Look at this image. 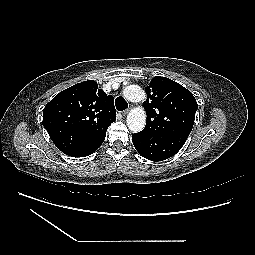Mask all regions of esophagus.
Segmentation results:
<instances>
[{
    "label": "esophagus",
    "mask_w": 255,
    "mask_h": 255,
    "mask_svg": "<svg viewBox=\"0 0 255 255\" xmlns=\"http://www.w3.org/2000/svg\"><path fill=\"white\" fill-rule=\"evenodd\" d=\"M128 112H129V109H126V110H124V111L122 112V115H123V116H126V115L128 114Z\"/></svg>",
    "instance_id": "obj_1"
}]
</instances>
